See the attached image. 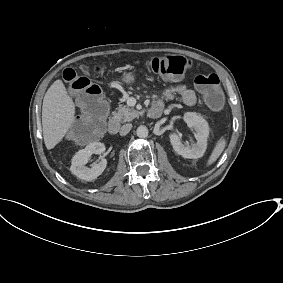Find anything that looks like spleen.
<instances>
[{
    "label": "spleen",
    "mask_w": 283,
    "mask_h": 283,
    "mask_svg": "<svg viewBox=\"0 0 283 283\" xmlns=\"http://www.w3.org/2000/svg\"><path fill=\"white\" fill-rule=\"evenodd\" d=\"M226 146V141L224 138H220L214 148V150L212 151L211 156L209 157L208 160V165H211L212 163H214L218 157L221 155V153L223 152L224 148Z\"/></svg>",
    "instance_id": "1"
}]
</instances>
